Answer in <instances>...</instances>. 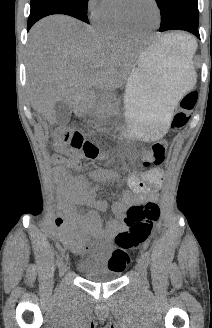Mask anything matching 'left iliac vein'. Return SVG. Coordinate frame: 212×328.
Instances as JSON below:
<instances>
[{"mask_svg": "<svg viewBox=\"0 0 212 328\" xmlns=\"http://www.w3.org/2000/svg\"><path fill=\"white\" fill-rule=\"evenodd\" d=\"M137 270L140 273L142 279L146 278V273H147V269H146V264L144 262L143 259H139L138 263H137Z\"/></svg>", "mask_w": 212, "mask_h": 328, "instance_id": "1", "label": "left iliac vein"}]
</instances>
